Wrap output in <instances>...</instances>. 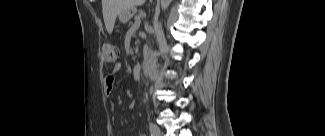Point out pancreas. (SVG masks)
<instances>
[{"label":"pancreas","instance_id":"obj_1","mask_svg":"<svg viewBox=\"0 0 325 136\" xmlns=\"http://www.w3.org/2000/svg\"><path fill=\"white\" fill-rule=\"evenodd\" d=\"M134 22H135V20L134 19H131L130 20V23H128V26H131L132 27L134 25Z\"/></svg>","mask_w":325,"mask_h":136}]
</instances>
